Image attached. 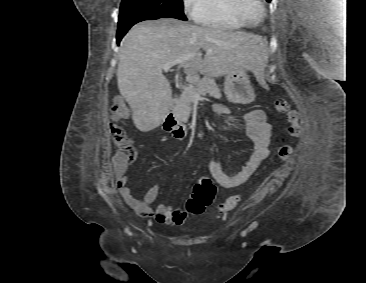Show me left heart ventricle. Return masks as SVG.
I'll use <instances>...</instances> for the list:
<instances>
[{
  "label": "left heart ventricle",
  "instance_id": "left-heart-ventricle-1",
  "mask_svg": "<svg viewBox=\"0 0 366 283\" xmlns=\"http://www.w3.org/2000/svg\"><path fill=\"white\" fill-rule=\"evenodd\" d=\"M259 12V6L253 0H248L244 8V14L246 18L250 22H255L258 18Z\"/></svg>",
  "mask_w": 366,
  "mask_h": 283
}]
</instances>
